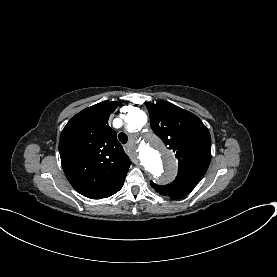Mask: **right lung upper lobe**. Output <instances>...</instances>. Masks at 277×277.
Returning a JSON list of instances; mask_svg holds the SVG:
<instances>
[{
  "instance_id": "right-lung-upper-lobe-1",
  "label": "right lung upper lobe",
  "mask_w": 277,
  "mask_h": 277,
  "mask_svg": "<svg viewBox=\"0 0 277 277\" xmlns=\"http://www.w3.org/2000/svg\"><path fill=\"white\" fill-rule=\"evenodd\" d=\"M117 102L104 101L72 117L63 129L59 152L65 175L85 197L101 199L118 192L131 164L108 125Z\"/></svg>"
}]
</instances>
